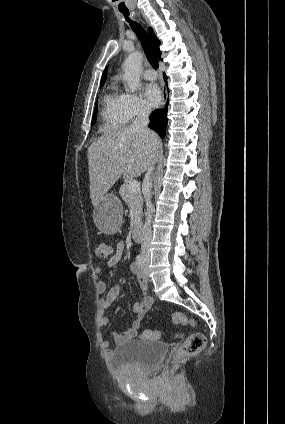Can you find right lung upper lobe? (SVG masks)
<instances>
[{
    "label": "right lung upper lobe",
    "instance_id": "obj_1",
    "mask_svg": "<svg viewBox=\"0 0 285 424\" xmlns=\"http://www.w3.org/2000/svg\"><path fill=\"white\" fill-rule=\"evenodd\" d=\"M148 33H149V36H150V38L152 40V43L154 45V48H155L158 56L160 57L161 56V52L159 50L160 41L157 39V37H156V35H155V33H154V31H153L152 28H149ZM105 79H106V70L104 71V73L102 75L101 86L104 84Z\"/></svg>",
    "mask_w": 285,
    "mask_h": 424
}]
</instances>
